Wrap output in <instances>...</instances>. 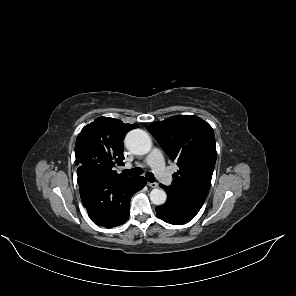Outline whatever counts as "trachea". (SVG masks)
<instances>
[{"mask_svg":"<svg viewBox=\"0 0 296 296\" xmlns=\"http://www.w3.org/2000/svg\"><path fill=\"white\" fill-rule=\"evenodd\" d=\"M122 172L128 176H139L142 174V169L137 167L133 169H125ZM145 176L149 182H154L155 179L153 173L147 172Z\"/></svg>","mask_w":296,"mask_h":296,"instance_id":"obj_1","label":"trachea"}]
</instances>
